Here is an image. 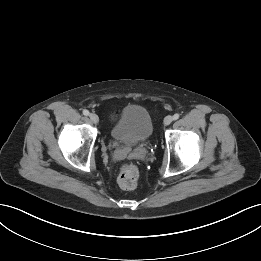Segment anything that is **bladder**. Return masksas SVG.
Listing matches in <instances>:
<instances>
[{
  "instance_id": "31cf9c89",
  "label": "bladder",
  "mask_w": 261,
  "mask_h": 261,
  "mask_svg": "<svg viewBox=\"0 0 261 261\" xmlns=\"http://www.w3.org/2000/svg\"><path fill=\"white\" fill-rule=\"evenodd\" d=\"M153 132L150 113L141 105H127L123 108L111 128L112 138L126 146H136L147 141Z\"/></svg>"
}]
</instances>
